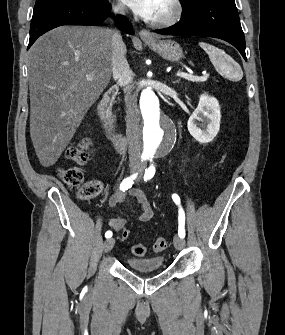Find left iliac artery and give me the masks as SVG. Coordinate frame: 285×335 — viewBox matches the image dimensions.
Wrapping results in <instances>:
<instances>
[{
    "instance_id": "left-iliac-artery-1",
    "label": "left iliac artery",
    "mask_w": 285,
    "mask_h": 335,
    "mask_svg": "<svg viewBox=\"0 0 285 335\" xmlns=\"http://www.w3.org/2000/svg\"><path fill=\"white\" fill-rule=\"evenodd\" d=\"M152 161V160H151ZM155 174V167L153 164H151V166L145 170V175H144V180H150ZM172 199L173 201L179 206V217H178V222H179V227H178V235L181 238L185 237V214L184 211L182 209V207L180 206V198L177 194H173L172 195Z\"/></svg>"
}]
</instances>
